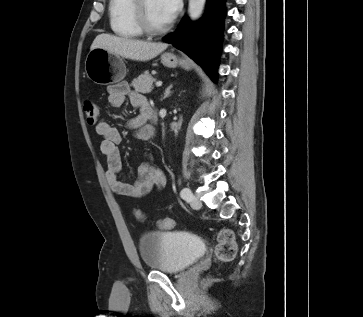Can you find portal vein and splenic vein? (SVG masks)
<instances>
[{
  "label": "portal vein and splenic vein",
  "mask_w": 363,
  "mask_h": 317,
  "mask_svg": "<svg viewBox=\"0 0 363 317\" xmlns=\"http://www.w3.org/2000/svg\"><path fill=\"white\" fill-rule=\"evenodd\" d=\"M156 86H157V87L162 86V82H161V81L156 82Z\"/></svg>",
  "instance_id": "portal-vein-and-splenic-vein-1"
}]
</instances>
